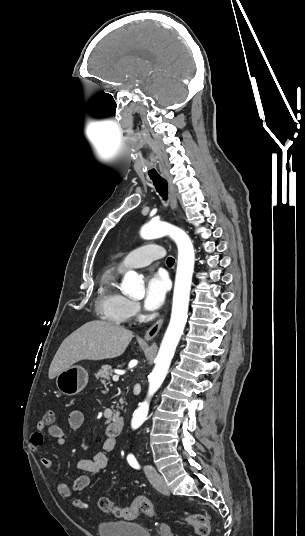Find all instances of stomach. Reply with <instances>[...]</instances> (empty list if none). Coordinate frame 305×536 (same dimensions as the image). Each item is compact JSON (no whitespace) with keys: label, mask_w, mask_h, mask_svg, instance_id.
Listing matches in <instances>:
<instances>
[{"label":"stomach","mask_w":305,"mask_h":536,"mask_svg":"<svg viewBox=\"0 0 305 536\" xmlns=\"http://www.w3.org/2000/svg\"><path fill=\"white\" fill-rule=\"evenodd\" d=\"M88 384L87 370L81 366H71L68 370L60 372L56 378V386L65 396H75L82 392Z\"/></svg>","instance_id":"0dacf381"}]
</instances>
